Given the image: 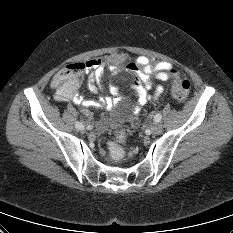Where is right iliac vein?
I'll list each match as a JSON object with an SVG mask.
<instances>
[{
	"instance_id": "1",
	"label": "right iliac vein",
	"mask_w": 233,
	"mask_h": 233,
	"mask_svg": "<svg viewBox=\"0 0 233 233\" xmlns=\"http://www.w3.org/2000/svg\"><path fill=\"white\" fill-rule=\"evenodd\" d=\"M81 130H82L83 135H88L89 134V129L88 128H83Z\"/></svg>"
}]
</instances>
